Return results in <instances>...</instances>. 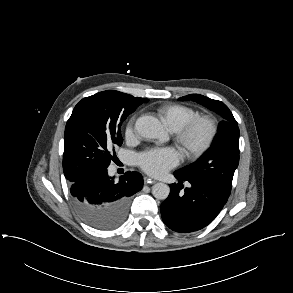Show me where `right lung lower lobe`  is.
<instances>
[{
    "instance_id": "1",
    "label": "right lung lower lobe",
    "mask_w": 293,
    "mask_h": 293,
    "mask_svg": "<svg viewBox=\"0 0 293 293\" xmlns=\"http://www.w3.org/2000/svg\"><path fill=\"white\" fill-rule=\"evenodd\" d=\"M70 186L79 213L95 216L118 214L124 221L130 196L142 189L143 178L137 172H126L117 181L108 175L107 168L98 167L78 176Z\"/></svg>"
}]
</instances>
